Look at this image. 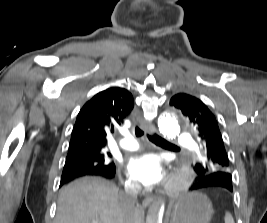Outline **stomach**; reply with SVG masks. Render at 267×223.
I'll use <instances>...</instances> for the list:
<instances>
[{
	"mask_svg": "<svg viewBox=\"0 0 267 223\" xmlns=\"http://www.w3.org/2000/svg\"><path fill=\"white\" fill-rule=\"evenodd\" d=\"M213 207L208 197L200 192L179 196L169 215L170 223H210Z\"/></svg>",
	"mask_w": 267,
	"mask_h": 223,
	"instance_id": "obj_1",
	"label": "stomach"
}]
</instances>
